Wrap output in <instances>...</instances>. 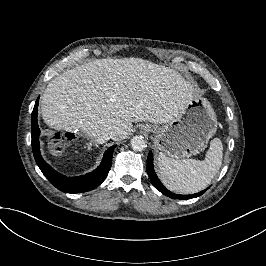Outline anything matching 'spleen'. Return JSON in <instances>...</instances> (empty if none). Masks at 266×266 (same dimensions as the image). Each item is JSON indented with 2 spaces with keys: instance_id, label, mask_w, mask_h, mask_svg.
Returning <instances> with one entry per match:
<instances>
[{
  "instance_id": "obj_1",
  "label": "spleen",
  "mask_w": 266,
  "mask_h": 266,
  "mask_svg": "<svg viewBox=\"0 0 266 266\" xmlns=\"http://www.w3.org/2000/svg\"><path fill=\"white\" fill-rule=\"evenodd\" d=\"M222 158V143L219 138L212 139L203 161L194 158L172 159L160 153V176L166 187L172 191L195 193L210 183L221 166Z\"/></svg>"
}]
</instances>
